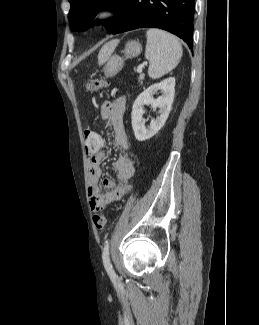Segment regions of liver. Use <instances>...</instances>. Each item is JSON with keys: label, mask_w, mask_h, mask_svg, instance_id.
<instances>
[{"label": "liver", "mask_w": 259, "mask_h": 325, "mask_svg": "<svg viewBox=\"0 0 259 325\" xmlns=\"http://www.w3.org/2000/svg\"><path fill=\"white\" fill-rule=\"evenodd\" d=\"M117 45L118 40H111L101 48L98 54L99 65L104 64L109 59Z\"/></svg>", "instance_id": "1"}]
</instances>
